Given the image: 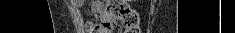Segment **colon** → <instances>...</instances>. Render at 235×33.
Masks as SVG:
<instances>
[{
    "instance_id": "5ec220e1",
    "label": "colon",
    "mask_w": 235,
    "mask_h": 33,
    "mask_svg": "<svg viewBox=\"0 0 235 33\" xmlns=\"http://www.w3.org/2000/svg\"><path fill=\"white\" fill-rule=\"evenodd\" d=\"M124 33H140L139 15L125 2L119 0L108 1L100 12L98 22L87 24L88 33H120V25Z\"/></svg>"
}]
</instances>
